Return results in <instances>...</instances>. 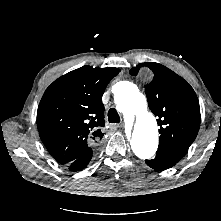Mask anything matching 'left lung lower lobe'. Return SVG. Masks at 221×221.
I'll list each match as a JSON object with an SVG mask.
<instances>
[{"mask_svg": "<svg viewBox=\"0 0 221 221\" xmlns=\"http://www.w3.org/2000/svg\"><path fill=\"white\" fill-rule=\"evenodd\" d=\"M183 156L184 155L171 151L157 150L156 157L151 160H146L145 162L151 168L162 171L174 166Z\"/></svg>", "mask_w": 221, "mask_h": 221, "instance_id": "left-lung-lower-lobe-1", "label": "left lung lower lobe"}]
</instances>
